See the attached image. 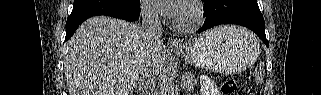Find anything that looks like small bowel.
Returning a JSON list of instances; mask_svg holds the SVG:
<instances>
[{
  "mask_svg": "<svg viewBox=\"0 0 321 95\" xmlns=\"http://www.w3.org/2000/svg\"><path fill=\"white\" fill-rule=\"evenodd\" d=\"M208 94H209L208 90H205L204 95H208Z\"/></svg>",
  "mask_w": 321,
  "mask_h": 95,
  "instance_id": "obj_1",
  "label": "small bowel"
}]
</instances>
